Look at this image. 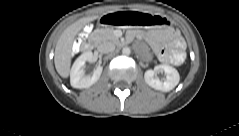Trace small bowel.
Segmentation results:
<instances>
[{
    "label": "small bowel",
    "mask_w": 239,
    "mask_h": 136,
    "mask_svg": "<svg viewBox=\"0 0 239 136\" xmlns=\"http://www.w3.org/2000/svg\"><path fill=\"white\" fill-rule=\"evenodd\" d=\"M90 29V26L86 28L88 31ZM169 37L173 39V47L174 49L169 52L165 48H160L158 50V57L159 59L166 63V64H179L184 59V41L182 38L178 36V33L176 31H170L168 33Z\"/></svg>",
    "instance_id": "1"
}]
</instances>
